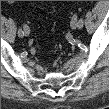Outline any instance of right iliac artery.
<instances>
[{
	"label": "right iliac artery",
	"mask_w": 109,
	"mask_h": 109,
	"mask_svg": "<svg viewBox=\"0 0 109 109\" xmlns=\"http://www.w3.org/2000/svg\"><path fill=\"white\" fill-rule=\"evenodd\" d=\"M18 35L20 37H23L24 36V32H23V30L21 28H19V30H18Z\"/></svg>",
	"instance_id": "1"
}]
</instances>
